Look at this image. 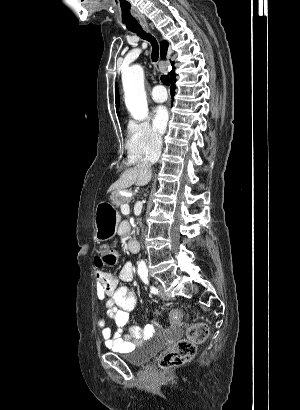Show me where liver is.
Wrapping results in <instances>:
<instances>
[{"mask_svg": "<svg viewBox=\"0 0 300 410\" xmlns=\"http://www.w3.org/2000/svg\"><path fill=\"white\" fill-rule=\"evenodd\" d=\"M152 177L151 168H141L139 165L126 169L120 178L109 188L111 190H122L136 184L137 186L147 185Z\"/></svg>", "mask_w": 300, "mask_h": 410, "instance_id": "liver-1", "label": "liver"}]
</instances>
